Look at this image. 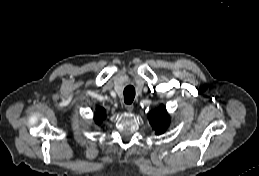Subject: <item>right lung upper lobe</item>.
<instances>
[{
	"mask_svg": "<svg viewBox=\"0 0 259 176\" xmlns=\"http://www.w3.org/2000/svg\"><path fill=\"white\" fill-rule=\"evenodd\" d=\"M105 118V109L104 108H97V112L95 113V121L97 124H100V122Z\"/></svg>",
	"mask_w": 259,
	"mask_h": 176,
	"instance_id": "right-lung-upper-lobe-1",
	"label": "right lung upper lobe"
}]
</instances>
